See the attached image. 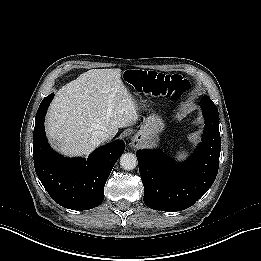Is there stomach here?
Instances as JSON below:
<instances>
[{
    "mask_svg": "<svg viewBox=\"0 0 261 261\" xmlns=\"http://www.w3.org/2000/svg\"><path fill=\"white\" fill-rule=\"evenodd\" d=\"M165 123L157 114H150L143 119L140 130L135 134L134 140L145 147H154L160 141V134Z\"/></svg>",
    "mask_w": 261,
    "mask_h": 261,
    "instance_id": "stomach-1",
    "label": "stomach"
}]
</instances>
